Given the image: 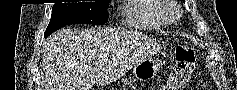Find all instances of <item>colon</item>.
<instances>
[{"instance_id": "5ec220e1", "label": "colon", "mask_w": 237, "mask_h": 90, "mask_svg": "<svg viewBox=\"0 0 237 90\" xmlns=\"http://www.w3.org/2000/svg\"><path fill=\"white\" fill-rule=\"evenodd\" d=\"M175 67L170 73L165 90H182L191 80L195 65V50L185 43L178 44L174 52Z\"/></svg>"}]
</instances>
